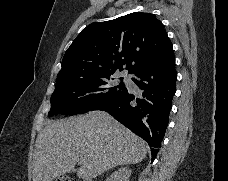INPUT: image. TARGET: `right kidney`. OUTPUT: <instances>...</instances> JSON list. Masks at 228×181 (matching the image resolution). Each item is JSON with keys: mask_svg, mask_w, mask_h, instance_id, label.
<instances>
[{"mask_svg": "<svg viewBox=\"0 0 228 181\" xmlns=\"http://www.w3.org/2000/svg\"><path fill=\"white\" fill-rule=\"evenodd\" d=\"M131 175L130 169L128 167H122L118 171H114L107 181H129Z\"/></svg>", "mask_w": 228, "mask_h": 181, "instance_id": "1", "label": "right kidney"}]
</instances>
